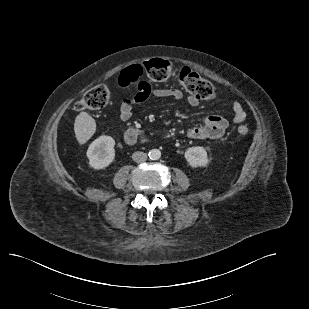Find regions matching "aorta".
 Returning a JSON list of instances; mask_svg holds the SVG:
<instances>
[{"instance_id": "1", "label": "aorta", "mask_w": 309, "mask_h": 309, "mask_svg": "<svg viewBox=\"0 0 309 309\" xmlns=\"http://www.w3.org/2000/svg\"><path fill=\"white\" fill-rule=\"evenodd\" d=\"M148 155L150 159L158 160L161 157V151L159 149H151Z\"/></svg>"}]
</instances>
